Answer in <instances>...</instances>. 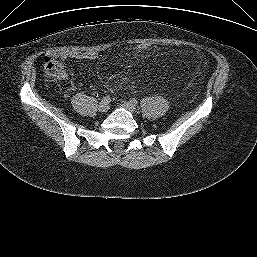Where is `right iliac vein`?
<instances>
[{
	"label": "right iliac vein",
	"instance_id": "right-iliac-vein-1",
	"mask_svg": "<svg viewBox=\"0 0 257 257\" xmlns=\"http://www.w3.org/2000/svg\"><path fill=\"white\" fill-rule=\"evenodd\" d=\"M109 109V105L107 103L104 102H100L98 105V110L102 113L107 112V110Z\"/></svg>",
	"mask_w": 257,
	"mask_h": 257
}]
</instances>
